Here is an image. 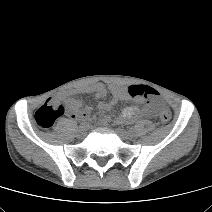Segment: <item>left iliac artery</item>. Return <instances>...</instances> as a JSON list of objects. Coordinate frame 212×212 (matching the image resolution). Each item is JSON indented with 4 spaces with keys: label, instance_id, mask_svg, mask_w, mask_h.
Masks as SVG:
<instances>
[{
    "label": "left iliac artery",
    "instance_id": "44dca946",
    "mask_svg": "<svg viewBox=\"0 0 212 212\" xmlns=\"http://www.w3.org/2000/svg\"><path fill=\"white\" fill-rule=\"evenodd\" d=\"M133 131H134V129L133 128H130V132L133 133Z\"/></svg>",
    "mask_w": 212,
    "mask_h": 212
}]
</instances>
